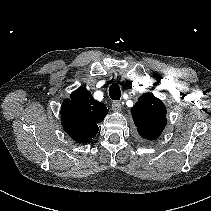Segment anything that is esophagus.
<instances>
[{"mask_svg":"<svg viewBox=\"0 0 211 211\" xmlns=\"http://www.w3.org/2000/svg\"><path fill=\"white\" fill-rule=\"evenodd\" d=\"M121 109H122V106H121L120 102H118V101L112 102V110L113 111H121Z\"/></svg>","mask_w":211,"mask_h":211,"instance_id":"obj_1","label":"esophagus"}]
</instances>
